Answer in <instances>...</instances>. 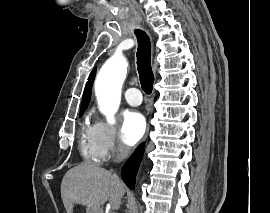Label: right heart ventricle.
I'll return each mask as SVG.
<instances>
[{
	"label": "right heart ventricle",
	"mask_w": 270,
	"mask_h": 213,
	"mask_svg": "<svg viewBox=\"0 0 270 213\" xmlns=\"http://www.w3.org/2000/svg\"><path fill=\"white\" fill-rule=\"evenodd\" d=\"M79 150L82 157L91 162L99 163L103 160V154L98 142L97 124L85 119L79 137Z\"/></svg>",
	"instance_id": "1"
}]
</instances>
